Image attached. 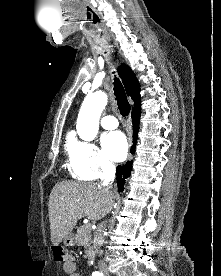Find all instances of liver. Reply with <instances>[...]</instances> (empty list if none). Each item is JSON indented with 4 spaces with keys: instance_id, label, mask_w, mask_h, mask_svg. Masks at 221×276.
<instances>
[{
    "instance_id": "1",
    "label": "liver",
    "mask_w": 221,
    "mask_h": 276,
    "mask_svg": "<svg viewBox=\"0 0 221 276\" xmlns=\"http://www.w3.org/2000/svg\"><path fill=\"white\" fill-rule=\"evenodd\" d=\"M114 194L92 182L57 183L49 197V221L52 244H59L72 232L79 219L97 221L113 206Z\"/></svg>"
}]
</instances>
